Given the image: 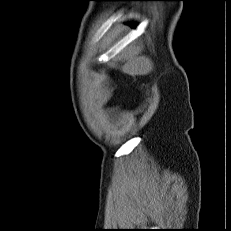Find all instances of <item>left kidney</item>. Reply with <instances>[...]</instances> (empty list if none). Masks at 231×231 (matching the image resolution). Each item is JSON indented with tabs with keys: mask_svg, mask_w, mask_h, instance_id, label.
<instances>
[{
	"mask_svg": "<svg viewBox=\"0 0 231 231\" xmlns=\"http://www.w3.org/2000/svg\"><path fill=\"white\" fill-rule=\"evenodd\" d=\"M152 70V62L146 57H136L128 61L123 71L131 76L146 75Z\"/></svg>",
	"mask_w": 231,
	"mask_h": 231,
	"instance_id": "5707ae66",
	"label": "left kidney"
}]
</instances>
